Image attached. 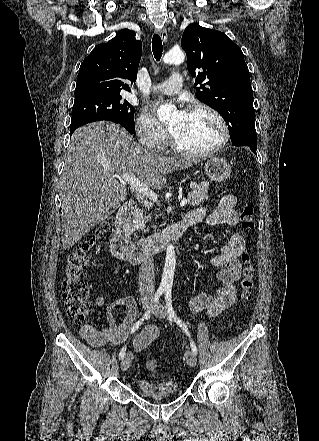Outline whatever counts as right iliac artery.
I'll use <instances>...</instances> for the list:
<instances>
[{
    "mask_svg": "<svg viewBox=\"0 0 319 441\" xmlns=\"http://www.w3.org/2000/svg\"><path fill=\"white\" fill-rule=\"evenodd\" d=\"M162 293H163V290H161V289H158V290H157V292H156V294H155V296H154V298H153V300H152L151 306L147 309V311L145 312V314L143 315V317L140 318V319H139V320L133 325V327H132V329H131V333H134V332H135V331H136V330L142 325V323L144 322V320H145V319H148V318L150 317L151 309L153 308V305H154L156 302H158V300H159L160 296L162 295ZM125 352H126V346L123 347V348L121 349L120 353H119V359H120V360L124 358V356H125Z\"/></svg>",
    "mask_w": 319,
    "mask_h": 441,
    "instance_id": "right-iliac-artery-1",
    "label": "right iliac artery"
}]
</instances>
